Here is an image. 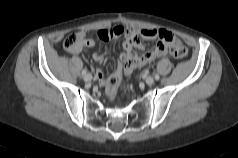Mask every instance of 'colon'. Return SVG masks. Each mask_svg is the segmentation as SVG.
<instances>
[{"label":"colon","mask_w":238,"mask_h":158,"mask_svg":"<svg viewBox=\"0 0 238 158\" xmlns=\"http://www.w3.org/2000/svg\"><path fill=\"white\" fill-rule=\"evenodd\" d=\"M98 36L100 39L102 40H109L112 37H114L112 30H100L98 32ZM80 39L78 37L77 34H70L69 36L66 37L65 41H64V48L69 51V52H73L75 51L79 46H80ZM169 52L171 54L172 57H174L175 59H184L187 56V49L186 47L178 42V41H173L172 44L170 45L169 48ZM132 62V60H131ZM120 83H118L116 80L112 79L110 81V95H114V93L116 92L118 86Z\"/></svg>","instance_id":"colon-1"}]
</instances>
